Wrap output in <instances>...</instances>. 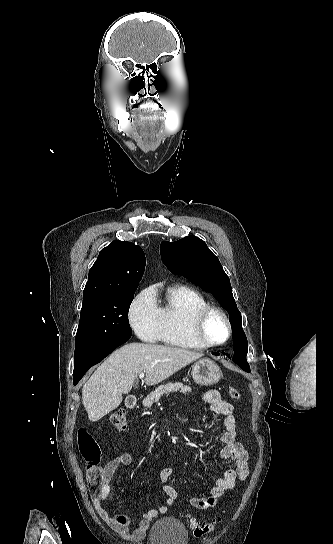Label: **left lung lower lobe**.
Returning a JSON list of instances; mask_svg holds the SVG:
<instances>
[{
	"mask_svg": "<svg viewBox=\"0 0 333 544\" xmlns=\"http://www.w3.org/2000/svg\"><path fill=\"white\" fill-rule=\"evenodd\" d=\"M233 338H234V339H237V335L234 334V335H233ZM213 355H219V352H215V353H213ZM229 358H230V356H229ZM241 368H242L244 371H246V372H250V368H243V367H241Z\"/></svg>",
	"mask_w": 333,
	"mask_h": 544,
	"instance_id": "left-lung-lower-lobe-1",
	"label": "left lung lower lobe"
}]
</instances>
